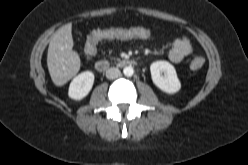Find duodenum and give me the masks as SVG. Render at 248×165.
Listing matches in <instances>:
<instances>
[{
	"instance_id": "1",
	"label": "duodenum",
	"mask_w": 248,
	"mask_h": 165,
	"mask_svg": "<svg viewBox=\"0 0 248 165\" xmlns=\"http://www.w3.org/2000/svg\"><path fill=\"white\" fill-rule=\"evenodd\" d=\"M119 66H135L136 61L133 59H123L117 63ZM110 67V62L99 60L95 63V68L98 72L104 73Z\"/></svg>"
}]
</instances>
